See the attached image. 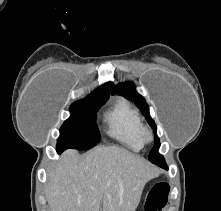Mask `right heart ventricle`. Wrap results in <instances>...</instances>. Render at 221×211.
<instances>
[{"label":"right heart ventricle","instance_id":"e07e8e85","mask_svg":"<svg viewBox=\"0 0 221 211\" xmlns=\"http://www.w3.org/2000/svg\"><path fill=\"white\" fill-rule=\"evenodd\" d=\"M108 133L132 150L144 146L142 139L143 122L137 109L125 99H119L107 112Z\"/></svg>","mask_w":221,"mask_h":211}]
</instances>
